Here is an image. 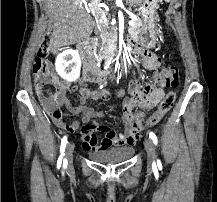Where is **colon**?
Masks as SVG:
<instances>
[{"instance_id":"1","label":"colon","mask_w":217,"mask_h":202,"mask_svg":"<svg viewBox=\"0 0 217 202\" xmlns=\"http://www.w3.org/2000/svg\"><path fill=\"white\" fill-rule=\"evenodd\" d=\"M43 41H40V46H51V41H55V36H43ZM37 54H49V49H37ZM47 55H37L33 60L32 71L36 75L35 87L40 94V103H44L46 110L50 112L49 119H62L64 113L57 108L61 107L60 103H66L67 99L63 98V93H55V91H66V86L62 85V80H52L54 74L58 72V66L62 67V64L53 63V59H47ZM152 78L157 83L156 87L147 88H159L164 85L178 86L180 81V68L177 66H169L161 69L155 74H152ZM146 79H149L148 77ZM164 90V89H163ZM136 95H148V96H134L136 103L145 109L152 108L153 102H158V99H163L160 90H136ZM176 100L175 92H171L167 100L163 99L162 107L154 112V118H150L146 121L148 124L146 128L154 126L165 115V113L172 107ZM56 128H64L71 134H77L78 132H87L96 128L94 124H89L79 129L77 125L63 122L56 123Z\"/></svg>"}]
</instances>
